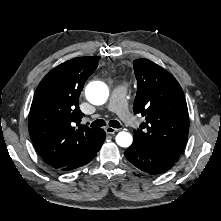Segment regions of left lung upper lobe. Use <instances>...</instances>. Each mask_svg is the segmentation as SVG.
Returning <instances> with one entry per match:
<instances>
[{"label": "left lung upper lobe", "mask_w": 221, "mask_h": 221, "mask_svg": "<svg viewBox=\"0 0 221 221\" xmlns=\"http://www.w3.org/2000/svg\"><path fill=\"white\" fill-rule=\"evenodd\" d=\"M137 94L133 110L145 117L134 139L176 162L188 137L186 100L177 80L148 59L133 62Z\"/></svg>", "instance_id": "left-lung-upper-lobe-1"}]
</instances>
